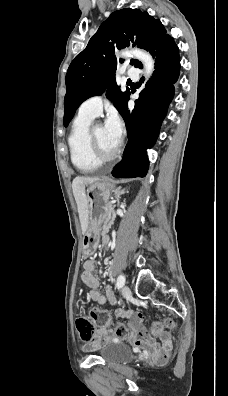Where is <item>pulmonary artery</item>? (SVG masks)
Wrapping results in <instances>:
<instances>
[{"label":"pulmonary artery","instance_id":"1","mask_svg":"<svg viewBox=\"0 0 228 396\" xmlns=\"http://www.w3.org/2000/svg\"><path fill=\"white\" fill-rule=\"evenodd\" d=\"M126 76L134 81L139 79V71L135 68H129ZM103 99L100 95H95L86 99L79 107V113L90 116H97L101 113Z\"/></svg>","mask_w":228,"mask_h":396}]
</instances>
